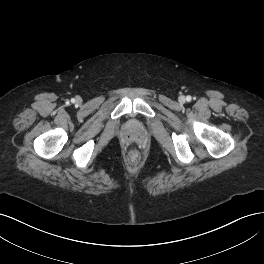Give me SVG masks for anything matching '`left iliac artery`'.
Here are the masks:
<instances>
[{"label": "left iliac artery", "instance_id": "1", "mask_svg": "<svg viewBox=\"0 0 264 264\" xmlns=\"http://www.w3.org/2000/svg\"><path fill=\"white\" fill-rule=\"evenodd\" d=\"M186 100L189 102L191 101V97L190 96H187Z\"/></svg>", "mask_w": 264, "mask_h": 264}]
</instances>
